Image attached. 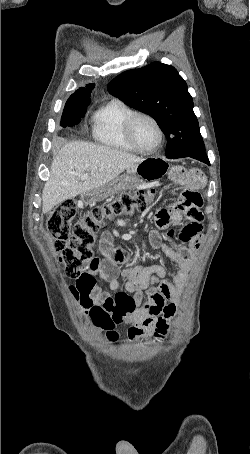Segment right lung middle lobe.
<instances>
[{"label": "right lung middle lobe", "instance_id": "dd1d6c3e", "mask_svg": "<svg viewBox=\"0 0 250 454\" xmlns=\"http://www.w3.org/2000/svg\"><path fill=\"white\" fill-rule=\"evenodd\" d=\"M89 104L90 102L65 105L60 125L62 127H72L78 124L81 118L84 117Z\"/></svg>", "mask_w": 250, "mask_h": 454}]
</instances>
